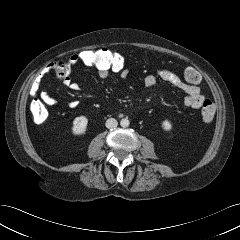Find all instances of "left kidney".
<instances>
[{"mask_svg": "<svg viewBox=\"0 0 240 240\" xmlns=\"http://www.w3.org/2000/svg\"><path fill=\"white\" fill-rule=\"evenodd\" d=\"M162 127L165 131H170L172 129V123L169 120H164L162 122Z\"/></svg>", "mask_w": 240, "mask_h": 240, "instance_id": "left-kidney-1", "label": "left kidney"}]
</instances>
